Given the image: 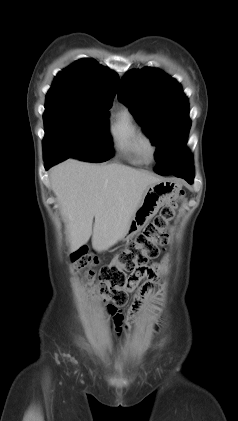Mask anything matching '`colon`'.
I'll use <instances>...</instances> for the list:
<instances>
[{
  "label": "colon",
  "instance_id": "obj_1",
  "mask_svg": "<svg viewBox=\"0 0 238 421\" xmlns=\"http://www.w3.org/2000/svg\"><path fill=\"white\" fill-rule=\"evenodd\" d=\"M179 199L180 197L164 206L153 222L98 272L94 269L97 259L88 255L85 249L74 253L77 269H87V276L97 278L101 292L114 305L121 306L125 303L126 293L133 288L132 274L157 258L161 247L167 244L169 228L175 219ZM111 309H114L113 306Z\"/></svg>",
  "mask_w": 238,
  "mask_h": 421
}]
</instances>
